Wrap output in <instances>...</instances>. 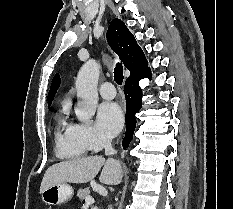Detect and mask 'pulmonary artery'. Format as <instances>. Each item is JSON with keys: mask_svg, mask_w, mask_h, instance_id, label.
<instances>
[{"mask_svg": "<svg viewBox=\"0 0 233 209\" xmlns=\"http://www.w3.org/2000/svg\"><path fill=\"white\" fill-rule=\"evenodd\" d=\"M99 93L105 99H112L116 95V90L111 82H104L99 86Z\"/></svg>", "mask_w": 233, "mask_h": 209, "instance_id": "e3ab8cb5", "label": "pulmonary artery"}]
</instances>
